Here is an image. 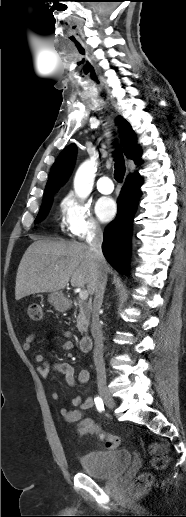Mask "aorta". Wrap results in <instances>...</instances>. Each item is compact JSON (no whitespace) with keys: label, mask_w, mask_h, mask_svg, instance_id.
Masks as SVG:
<instances>
[{"label":"aorta","mask_w":186,"mask_h":517,"mask_svg":"<svg viewBox=\"0 0 186 517\" xmlns=\"http://www.w3.org/2000/svg\"><path fill=\"white\" fill-rule=\"evenodd\" d=\"M95 164L87 160L78 168L74 178V190L80 198H86L92 191L95 179Z\"/></svg>","instance_id":"obj_1"}]
</instances>
